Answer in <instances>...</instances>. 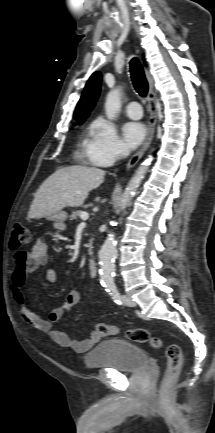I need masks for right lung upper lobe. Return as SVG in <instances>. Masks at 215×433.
<instances>
[{
  "label": "right lung upper lobe",
  "instance_id": "right-lung-upper-lobe-1",
  "mask_svg": "<svg viewBox=\"0 0 215 433\" xmlns=\"http://www.w3.org/2000/svg\"><path fill=\"white\" fill-rule=\"evenodd\" d=\"M100 82V72L93 73L89 78L74 112V119L77 122H84L94 107L100 92Z\"/></svg>",
  "mask_w": 215,
  "mask_h": 433
}]
</instances>
